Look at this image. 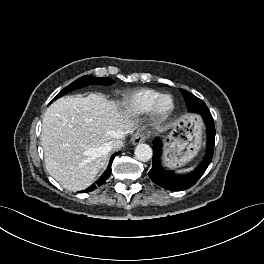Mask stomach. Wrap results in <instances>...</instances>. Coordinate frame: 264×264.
<instances>
[{"instance_id": "1", "label": "stomach", "mask_w": 264, "mask_h": 264, "mask_svg": "<svg viewBox=\"0 0 264 264\" xmlns=\"http://www.w3.org/2000/svg\"><path fill=\"white\" fill-rule=\"evenodd\" d=\"M202 144V121L185 115L178 119L164 140V164L169 168L184 166L199 152Z\"/></svg>"}]
</instances>
